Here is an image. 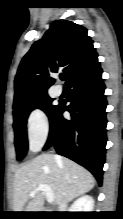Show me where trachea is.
I'll use <instances>...</instances> for the list:
<instances>
[{
  "instance_id": "3493384b",
  "label": "trachea",
  "mask_w": 123,
  "mask_h": 219,
  "mask_svg": "<svg viewBox=\"0 0 123 219\" xmlns=\"http://www.w3.org/2000/svg\"><path fill=\"white\" fill-rule=\"evenodd\" d=\"M61 79L63 80V79H64V77L62 76V77H61Z\"/></svg>"
}]
</instances>
